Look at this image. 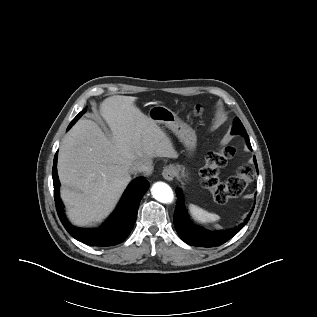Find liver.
<instances>
[{
	"label": "liver",
	"instance_id": "liver-1",
	"mask_svg": "<svg viewBox=\"0 0 317 317\" xmlns=\"http://www.w3.org/2000/svg\"><path fill=\"white\" fill-rule=\"evenodd\" d=\"M136 100L117 95L101 103L110 136L94 121L82 119L62 141L57 165L61 198L75 225H91L109 215L130 183L136 162L178 157L171 138L136 106Z\"/></svg>",
	"mask_w": 317,
	"mask_h": 317
}]
</instances>
